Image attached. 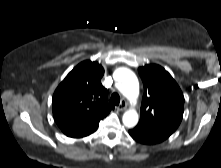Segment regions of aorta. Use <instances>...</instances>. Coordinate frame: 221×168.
Here are the masks:
<instances>
[{
	"label": "aorta",
	"mask_w": 221,
	"mask_h": 168,
	"mask_svg": "<svg viewBox=\"0 0 221 168\" xmlns=\"http://www.w3.org/2000/svg\"><path fill=\"white\" fill-rule=\"evenodd\" d=\"M113 76L117 89L130 101H135L139 95V82L134 72L128 68H119ZM138 119V113L130 109L123 114L122 121L126 127L132 128L137 125Z\"/></svg>",
	"instance_id": "obj_1"
}]
</instances>
